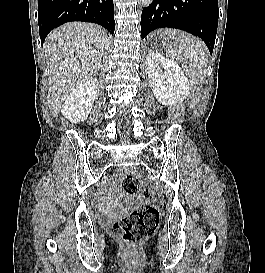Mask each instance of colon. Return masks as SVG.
Segmentation results:
<instances>
[{
	"mask_svg": "<svg viewBox=\"0 0 265 273\" xmlns=\"http://www.w3.org/2000/svg\"><path fill=\"white\" fill-rule=\"evenodd\" d=\"M122 186L126 194L136 197L135 208L114 224L113 234L120 242L135 246L156 232L159 211L151 203L148 191L142 189L141 177L137 171H128L123 178ZM141 192L144 198L138 197Z\"/></svg>",
	"mask_w": 265,
	"mask_h": 273,
	"instance_id": "5ec220e1",
	"label": "colon"
}]
</instances>
